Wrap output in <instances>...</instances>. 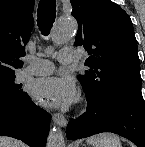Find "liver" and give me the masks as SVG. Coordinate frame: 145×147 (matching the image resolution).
Returning <instances> with one entry per match:
<instances>
[{"label":"liver","mask_w":145,"mask_h":147,"mask_svg":"<svg viewBox=\"0 0 145 147\" xmlns=\"http://www.w3.org/2000/svg\"><path fill=\"white\" fill-rule=\"evenodd\" d=\"M0 147H26L22 142L10 137L0 136Z\"/></svg>","instance_id":"6515ba94"}]
</instances>
